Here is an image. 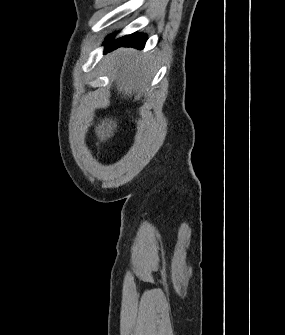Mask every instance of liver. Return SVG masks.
I'll list each match as a JSON object with an SVG mask.
<instances>
[{
    "label": "liver",
    "mask_w": 285,
    "mask_h": 335,
    "mask_svg": "<svg viewBox=\"0 0 285 335\" xmlns=\"http://www.w3.org/2000/svg\"><path fill=\"white\" fill-rule=\"evenodd\" d=\"M135 50H117L114 52L113 58L109 60L108 66L110 70L113 68V78L116 80L118 94H122L121 98H132L133 94L139 92L143 94L148 90L153 66L152 56H146L149 60H143L142 56H136ZM118 128L117 122L112 120H101V124H97L96 136L100 142H106L108 138L114 136V130Z\"/></svg>",
    "instance_id": "6515ba94"
}]
</instances>
